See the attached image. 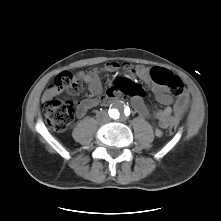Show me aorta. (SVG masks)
Wrapping results in <instances>:
<instances>
[{
	"instance_id": "obj_1",
	"label": "aorta",
	"mask_w": 221,
	"mask_h": 221,
	"mask_svg": "<svg viewBox=\"0 0 221 221\" xmlns=\"http://www.w3.org/2000/svg\"><path fill=\"white\" fill-rule=\"evenodd\" d=\"M119 117V112L117 109L113 110V118L117 119Z\"/></svg>"
}]
</instances>
